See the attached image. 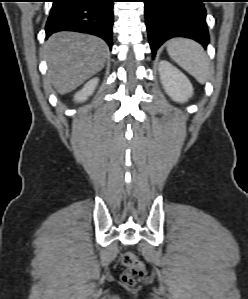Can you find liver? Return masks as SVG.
<instances>
[{
    "label": "liver",
    "instance_id": "liver-1",
    "mask_svg": "<svg viewBox=\"0 0 248 299\" xmlns=\"http://www.w3.org/2000/svg\"><path fill=\"white\" fill-rule=\"evenodd\" d=\"M108 53L98 37L68 31L53 34L45 44L48 78L58 93L71 92L104 67Z\"/></svg>",
    "mask_w": 248,
    "mask_h": 299
}]
</instances>
